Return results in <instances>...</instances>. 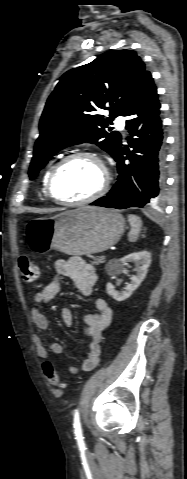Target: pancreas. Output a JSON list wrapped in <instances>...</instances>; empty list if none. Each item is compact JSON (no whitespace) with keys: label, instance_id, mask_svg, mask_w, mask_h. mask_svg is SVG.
I'll return each instance as SVG.
<instances>
[{"label":"pancreas","instance_id":"cf45deb5","mask_svg":"<svg viewBox=\"0 0 187 479\" xmlns=\"http://www.w3.org/2000/svg\"><path fill=\"white\" fill-rule=\"evenodd\" d=\"M92 259H93L92 264H94V265H98V264H100V263H104V259H102L101 257H92Z\"/></svg>","mask_w":187,"mask_h":479}]
</instances>
